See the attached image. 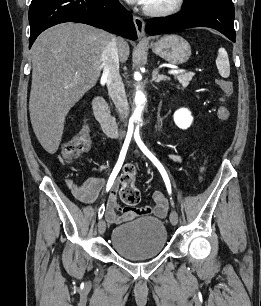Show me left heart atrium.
<instances>
[{
  "mask_svg": "<svg viewBox=\"0 0 261 306\" xmlns=\"http://www.w3.org/2000/svg\"><path fill=\"white\" fill-rule=\"evenodd\" d=\"M129 3H137L142 5H147L149 0H126Z\"/></svg>",
  "mask_w": 261,
  "mask_h": 306,
  "instance_id": "39dd6f15",
  "label": "left heart atrium"
}]
</instances>
